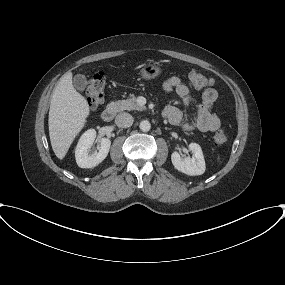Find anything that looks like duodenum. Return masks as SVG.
<instances>
[{"label":"duodenum","mask_w":285,"mask_h":285,"mask_svg":"<svg viewBox=\"0 0 285 285\" xmlns=\"http://www.w3.org/2000/svg\"><path fill=\"white\" fill-rule=\"evenodd\" d=\"M117 113V107L115 105H108L104 110L101 112V118L105 122H110L113 120Z\"/></svg>","instance_id":"obj_1"}]
</instances>
